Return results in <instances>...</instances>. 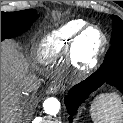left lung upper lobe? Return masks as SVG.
Listing matches in <instances>:
<instances>
[{"mask_svg": "<svg viewBox=\"0 0 123 123\" xmlns=\"http://www.w3.org/2000/svg\"><path fill=\"white\" fill-rule=\"evenodd\" d=\"M113 30L111 36V47L108 50L103 65L107 68L123 66V21L112 15Z\"/></svg>", "mask_w": 123, "mask_h": 123, "instance_id": "obj_1", "label": "left lung upper lobe"}]
</instances>
